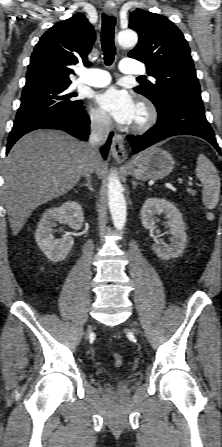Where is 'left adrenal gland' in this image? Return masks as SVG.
<instances>
[{
	"label": "left adrenal gland",
	"mask_w": 222,
	"mask_h": 447,
	"mask_svg": "<svg viewBox=\"0 0 222 447\" xmlns=\"http://www.w3.org/2000/svg\"><path fill=\"white\" fill-rule=\"evenodd\" d=\"M132 185H133V189H135L137 185H142V183L136 182V181L133 180L132 181Z\"/></svg>",
	"instance_id": "a2214340"
}]
</instances>
